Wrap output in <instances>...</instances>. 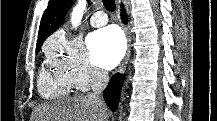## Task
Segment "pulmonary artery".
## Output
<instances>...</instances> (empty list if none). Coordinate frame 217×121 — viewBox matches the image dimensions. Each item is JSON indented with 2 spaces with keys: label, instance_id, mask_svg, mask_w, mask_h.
I'll return each instance as SVG.
<instances>
[{
  "label": "pulmonary artery",
  "instance_id": "obj_1",
  "mask_svg": "<svg viewBox=\"0 0 217 121\" xmlns=\"http://www.w3.org/2000/svg\"><path fill=\"white\" fill-rule=\"evenodd\" d=\"M108 17L103 11H97L95 12L91 18L90 23L93 27H101L107 24Z\"/></svg>",
  "mask_w": 217,
  "mask_h": 121
}]
</instances>
